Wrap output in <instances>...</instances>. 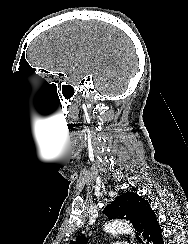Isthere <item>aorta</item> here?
<instances>
[{"instance_id":"obj_1","label":"aorta","mask_w":188,"mask_h":244,"mask_svg":"<svg viewBox=\"0 0 188 244\" xmlns=\"http://www.w3.org/2000/svg\"><path fill=\"white\" fill-rule=\"evenodd\" d=\"M111 234H132L133 227L128 222L122 220H112L105 225L104 229Z\"/></svg>"}]
</instances>
